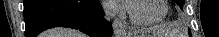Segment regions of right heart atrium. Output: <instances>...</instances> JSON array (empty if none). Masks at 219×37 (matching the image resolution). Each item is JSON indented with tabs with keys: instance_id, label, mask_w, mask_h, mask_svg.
Returning <instances> with one entry per match:
<instances>
[{
	"instance_id": "1",
	"label": "right heart atrium",
	"mask_w": 219,
	"mask_h": 37,
	"mask_svg": "<svg viewBox=\"0 0 219 37\" xmlns=\"http://www.w3.org/2000/svg\"><path fill=\"white\" fill-rule=\"evenodd\" d=\"M105 6H106L107 12L110 15H113V14H115L118 11V7H117L116 3H114V2H107L105 4Z\"/></svg>"
}]
</instances>
